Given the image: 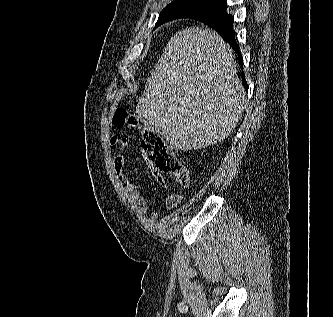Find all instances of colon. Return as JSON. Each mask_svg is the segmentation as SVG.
Wrapping results in <instances>:
<instances>
[{"label":"colon","instance_id":"obj_1","mask_svg":"<svg viewBox=\"0 0 333 317\" xmlns=\"http://www.w3.org/2000/svg\"><path fill=\"white\" fill-rule=\"evenodd\" d=\"M113 125L118 129L132 128L139 130L142 134L141 146L154 167L161 172L174 176L180 185H189L188 171L177 158L173 147L157 132L149 128L140 116L119 108L114 113Z\"/></svg>","mask_w":333,"mask_h":317}]
</instances>
